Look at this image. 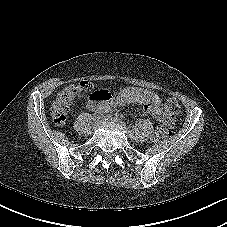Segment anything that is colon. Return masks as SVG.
Instances as JSON below:
<instances>
[{"instance_id": "5ec220e1", "label": "colon", "mask_w": 227, "mask_h": 227, "mask_svg": "<svg viewBox=\"0 0 227 227\" xmlns=\"http://www.w3.org/2000/svg\"><path fill=\"white\" fill-rule=\"evenodd\" d=\"M94 88L93 84L88 81H81L74 85H68L63 88L54 100L50 115L53 122L57 125H63L67 120L69 107L74 98L85 92H89ZM106 93V92H105ZM108 98L111 96L106 93ZM165 113L169 121H172L180 111V105L175 98H168L164 103ZM170 132L166 124L159 125L154 133L156 139H165L169 136Z\"/></svg>"}]
</instances>
